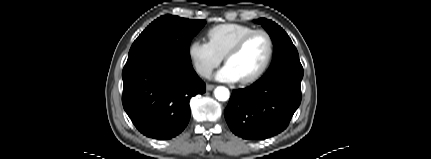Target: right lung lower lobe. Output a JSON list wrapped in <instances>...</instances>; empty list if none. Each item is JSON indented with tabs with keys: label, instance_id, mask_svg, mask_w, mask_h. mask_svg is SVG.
<instances>
[{
	"label": "right lung lower lobe",
	"instance_id": "obj_1",
	"mask_svg": "<svg viewBox=\"0 0 431 159\" xmlns=\"http://www.w3.org/2000/svg\"><path fill=\"white\" fill-rule=\"evenodd\" d=\"M122 78L126 113L143 135L157 140L179 135L190 119L189 100L205 92L190 62L161 49L128 58Z\"/></svg>",
	"mask_w": 431,
	"mask_h": 159
}]
</instances>
